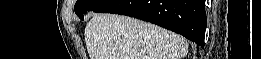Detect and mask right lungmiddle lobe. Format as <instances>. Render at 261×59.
Wrapping results in <instances>:
<instances>
[{
	"mask_svg": "<svg viewBox=\"0 0 261 59\" xmlns=\"http://www.w3.org/2000/svg\"><path fill=\"white\" fill-rule=\"evenodd\" d=\"M108 0H77L75 4V13L80 19H84L83 14L87 11H94Z\"/></svg>",
	"mask_w": 261,
	"mask_h": 59,
	"instance_id": "1",
	"label": "right lung middle lobe"
}]
</instances>
